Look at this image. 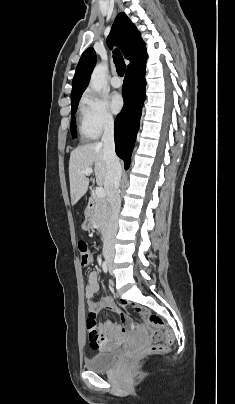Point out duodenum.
Wrapping results in <instances>:
<instances>
[{
    "instance_id": "1",
    "label": "duodenum",
    "mask_w": 235,
    "mask_h": 404,
    "mask_svg": "<svg viewBox=\"0 0 235 404\" xmlns=\"http://www.w3.org/2000/svg\"><path fill=\"white\" fill-rule=\"evenodd\" d=\"M93 211H94V200L90 199L86 209V214L88 216H91L93 214ZM104 241H106V236H104Z\"/></svg>"
}]
</instances>
